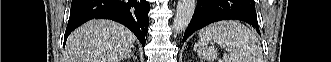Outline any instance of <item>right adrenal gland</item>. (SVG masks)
I'll return each mask as SVG.
<instances>
[{"label": "right adrenal gland", "mask_w": 331, "mask_h": 62, "mask_svg": "<svg viewBox=\"0 0 331 62\" xmlns=\"http://www.w3.org/2000/svg\"><path fill=\"white\" fill-rule=\"evenodd\" d=\"M130 57H132V58H134V59L137 58V57L134 55V52H132V53L128 56V58H130Z\"/></svg>", "instance_id": "1"}]
</instances>
